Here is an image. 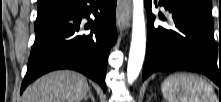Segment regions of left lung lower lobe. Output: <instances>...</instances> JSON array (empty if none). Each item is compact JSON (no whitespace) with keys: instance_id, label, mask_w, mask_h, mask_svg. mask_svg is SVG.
<instances>
[{"instance_id":"0a47b994","label":"left lung lower lobe","mask_w":221,"mask_h":102,"mask_svg":"<svg viewBox=\"0 0 221 102\" xmlns=\"http://www.w3.org/2000/svg\"><path fill=\"white\" fill-rule=\"evenodd\" d=\"M159 5L171 13L176 29L154 26V15L149 23L152 0H145L147 56L142 80L159 71L186 70L205 74L221 88V50L214 40L211 16L187 0H160Z\"/></svg>"}]
</instances>
